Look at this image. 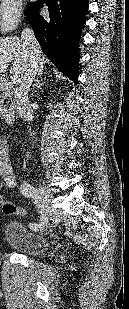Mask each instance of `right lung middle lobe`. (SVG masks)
<instances>
[{"mask_svg": "<svg viewBox=\"0 0 129 309\" xmlns=\"http://www.w3.org/2000/svg\"><path fill=\"white\" fill-rule=\"evenodd\" d=\"M32 6H33V3H29V4L27 5L26 14H27L28 10H29Z\"/></svg>", "mask_w": 129, "mask_h": 309, "instance_id": "right-lung-middle-lobe-1", "label": "right lung middle lobe"}]
</instances>
